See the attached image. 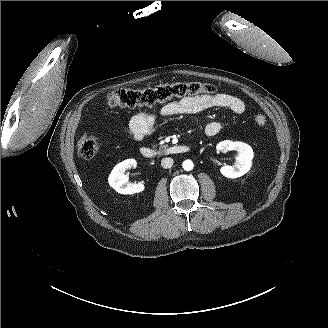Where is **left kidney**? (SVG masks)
<instances>
[{
	"instance_id": "obj_1",
	"label": "left kidney",
	"mask_w": 328,
	"mask_h": 328,
	"mask_svg": "<svg viewBox=\"0 0 328 328\" xmlns=\"http://www.w3.org/2000/svg\"><path fill=\"white\" fill-rule=\"evenodd\" d=\"M219 151H236L237 155L232 165L223 166L221 174L229 179H236L247 174L252 168L254 157L251 146L243 142L223 141L217 145Z\"/></svg>"
}]
</instances>
